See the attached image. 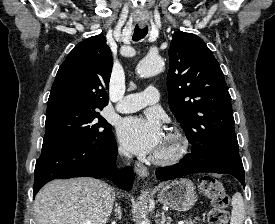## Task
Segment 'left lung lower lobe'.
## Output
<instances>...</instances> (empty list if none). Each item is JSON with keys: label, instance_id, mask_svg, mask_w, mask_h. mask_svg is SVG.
Returning a JSON list of instances; mask_svg holds the SVG:
<instances>
[{"label": "left lung lower lobe", "instance_id": "1", "mask_svg": "<svg viewBox=\"0 0 275 224\" xmlns=\"http://www.w3.org/2000/svg\"><path fill=\"white\" fill-rule=\"evenodd\" d=\"M197 171L231 174L244 186V168L238 151H192L175 165L158 168L159 180H171Z\"/></svg>", "mask_w": 275, "mask_h": 224}]
</instances>
